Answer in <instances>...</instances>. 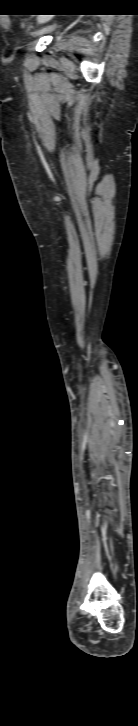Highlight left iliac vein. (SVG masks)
Masks as SVG:
<instances>
[{
	"label": "left iliac vein",
	"instance_id": "left-iliac-vein-1",
	"mask_svg": "<svg viewBox=\"0 0 138 726\" xmlns=\"http://www.w3.org/2000/svg\"><path fill=\"white\" fill-rule=\"evenodd\" d=\"M48 19L49 18L47 16H43V17L38 18V22L39 23H44V22L48 21ZM47 31H48V29H45V30H42L40 33H45Z\"/></svg>",
	"mask_w": 138,
	"mask_h": 726
}]
</instances>
